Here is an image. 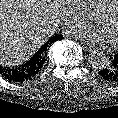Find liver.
Returning a JSON list of instances; mask_svg holds the SVG:
<instances>
[{
	"label": "liver",
	"instance_id": "1",
	"mask_svg": "<svg viewBox=\"0 0 118 118\" xmlns=\"http://www.w3.org/2000/svg\"><path fill=\"white\" fill-rule=\"evenodd\" d=\"M59 0H0V64L27 61L58 28Z\"/></svg>",
	"mask_w": 118,
	"mask_h": 118
}]
</instances>
